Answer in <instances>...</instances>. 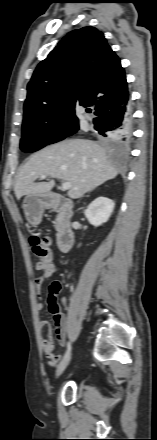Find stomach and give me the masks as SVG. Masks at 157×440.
<instances>
[{
  "label": "stomach",
  "instance_id": "obj_1",
  "mask_svg": "<svg viewBox=\"0 0 157 440\" xmlns=\"http://www.w3.org/2000/svg\"><path fill=\"white\" fill-rule=\"evenodd\" d=\"M47 206L44 196L28 195L23 201V209L27 221L31 225H38L41 222L42 214Z\"/></svg>",
  "mask_w": 157,
  "mask_h": 440
}]
</instances>
